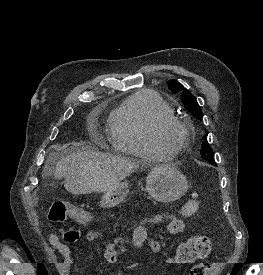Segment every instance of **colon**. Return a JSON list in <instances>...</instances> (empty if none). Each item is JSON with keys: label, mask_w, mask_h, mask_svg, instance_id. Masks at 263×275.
Instances as JSON below:
<instances>
[{"label": "colon", "mask_w": 263, "mask_h": 275, "mask_svg": "<svg viewBox=\"0 0 263 275\" xmlns=\"http://www.w3.org/2000/svg\"><path fill=\"white\" fill-rule=\"evenodd\" d=\"M198 209L199 201L194 196L183 205L179 211V216L182 218L191 217ZM92 218V214L89 211L65 202L54 203L49 212V219L53 222H63L67 219H72L85 223L91 221ZM160 221H162L161 217L155 219V222ZM211 249L212 244L207 236H194L179 245L175 260L179 264H191L207 257ZM213 265L210 261L198 263L191 269L190 275H209Z\"/></svg>", "instance_id": "obj_1"}]
</instances>
